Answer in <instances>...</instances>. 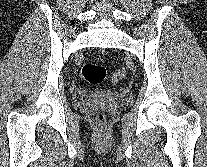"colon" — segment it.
I'll return each mask as SVG.
<instances>
[{
	"mask_svg": "<svg viewBox=\"0 0 207 167\" xmlns=\"http://www.w3.org/2000/svg\"><path fill=\"white\" fill-rule=\"evenodd\" d=\"M80 75L89 84L98 85L104 81L106 77V69L97 64L87 63L81 68ZM125 77L126 71L124 69H118L113 73L111 77V83L117 84ZM97 118L99 121H103L104 113L102 111H99Z\"/></svg>",
	"mask_w": 207,
	"mask_h": 167,
	"instance_id": "5ec220e1",
	"label": "colon"
}]
</instances>
